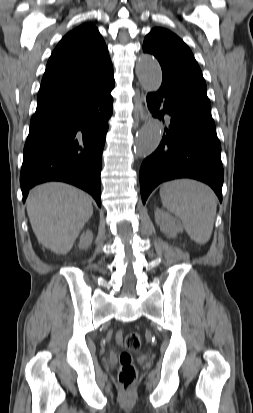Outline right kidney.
<instances>
[{"mask_svg": "<svg viewBox=\"0 0 253 413\" xmlns=\"http://www.w3.org/2000/svg\"><path fill=\"white\" fill-rule=\"evenodd\" d=\"M93 240V233L90 230L83 232L80 236V242L78 247L80 249H87Z\"/></svg>", "mask_w": 253, "mask_h": 413, "instance_id": "obj_1", "label": "right kidney"}]
</instances>
